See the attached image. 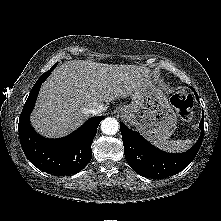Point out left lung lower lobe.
I'll list each match as a JSON object with an SVG mask.
<instances>
[{
	"mask_svg": "<svg viewBox=\"0 0 221 221\" xmlns=\"http://www.w3.org/2000/svg\"><path fill=\"white\" fill-rule=\"evenodd\" d=\"M196 98L198 95L193 89ZM204 114L199 124L201 135L196 144L187 152L172 154L159 150L146 141L138 132L120 124L127 163L138 174L154 179H163L179 173L195 158L204 137Z\"/></svg>",
	"mask_w": 221,
	"mask_h": 221,
	"instance_id": "0a47b994",
	"label": "left lung lower lobe"
}]
</instances>
